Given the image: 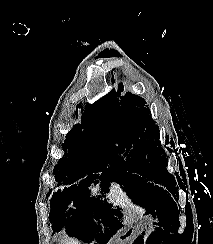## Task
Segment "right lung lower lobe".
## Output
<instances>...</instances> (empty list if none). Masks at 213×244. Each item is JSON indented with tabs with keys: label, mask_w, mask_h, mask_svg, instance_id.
<instances>
[{
	"label": "right lung lower lobe",
	"mask_w": 213,
	"mask_h": 244,
	"mask_svg": "<svg viewBox=\"0 0 213 244\" xmlns=\"http://www.w3.org/2000/svg\"><path fill=\"white\" fill-rule=\"evenodd\" d=\"M58 193H60V191H58L57 194H55V196L58 195ZM55 196H54V198H55Z\"/></svg>",
	"instance_id": "obj_1"
}]
</instances>
